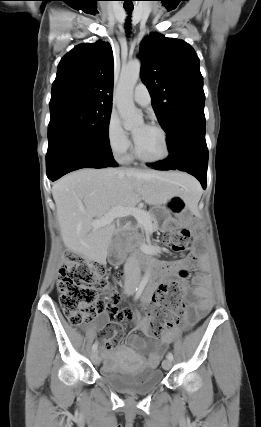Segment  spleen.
<instances>
[{
    "mask_svg": "<svg viewBox=\"0 0 261 427\" xmlns=\"http://www.w3.org/2000/svg\"><path fill=\"white\" fill-rule=\"evenodd\" d=\"M187 193L191 198V203L193 205H196L197 202L199 201L200 197H201L202 191H201L199 184L197 182H195L189 186Z\"/></svg>",
    "mask_w": 261,
    "mask_h": 427,
    "instance_id": "spleen-1",
    "label": "spleen"
}]
</instances>
